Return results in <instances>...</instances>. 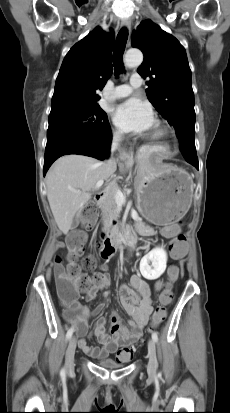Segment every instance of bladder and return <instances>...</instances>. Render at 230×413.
<instances>
[{
  "label": "bladder",
  "mask_w": 230,
  "mask_h": 413,
  "mask_svg": "<svg viewBox=\"0 0 230 413\" xmlns=\"http://www.w3.org/2000/svg\"><path fill=\"white\" fill-rule=\"evenodd\" d=\"M98 365H100L101 367L107 368V369H117V368L122 367L121 364L115 362L112 359H108V358L100 359L98 361Z\"/></svg>",
  "instance_id": "bladder-1"
}]
</instances>
